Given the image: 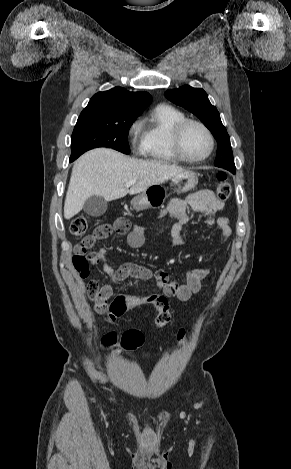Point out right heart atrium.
<instances>
[{
	"mask_svg": "<svg viewBox=\"0 0 291 469\" xmlns=\"http://www.w3.org/2000/svg\"><path fill=\"white\" fill-rule=\"evenodd\" d=\"M141 132V123L139 120H135L128 129V135L130 139L133 141L134 138H136L139 133Z\"/></svg>",
	"mask_w": 291,
	"mask_h": 469,
	"instance_id": "right-heart-atrium-1",
	"label": "right heart atrium"
}]
</instances>
